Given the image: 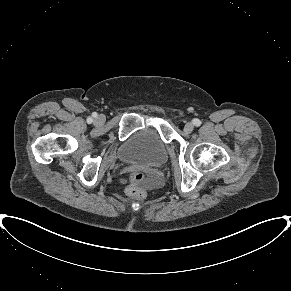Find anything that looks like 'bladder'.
I'll use <instances>...</instances> for the list:
<instances>
[{"label":"bladder","mask_w":291,"mask_h":291,"mask_svg":"<svg viewBox=\"0 0 291 291\" xmlns=\"http://www.w3.org/2000/svg\"><path fill=\"white\" fill-rule=\"evenodd\" d=\"M118 157L124 163L159 166L167 160L168 149L158 131L145 128L123 142Z\"/></svg>","instance_id":"31cf9c89"}]
</instances>
